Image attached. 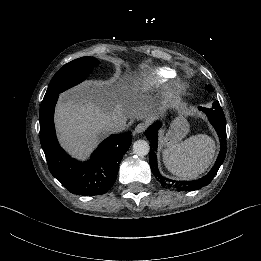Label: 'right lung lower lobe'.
<instances>
[{"mask_svg":"<svg viewBox=\"0 0 261 261\" xmlns=\"http://www.w3.org/2000/svg\"><path fill=\"white\" fill-rule=\"evenodd\" d=\"M59 94L40 106V142L51 174L71 193L95 196L107 193L116 181L119 162L132 142L131 132L105 139L90 158H71L59 145L54 127V108Z\"/></svg>","mask_w":261,"mask_h":261,"instance_id":"1","label":"right lung lower lobe"}]
</instances>
